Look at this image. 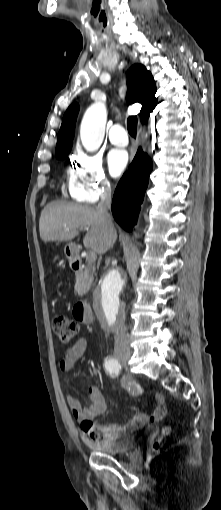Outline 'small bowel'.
<instances>
[{
  "instance_id": "c3829d8e",
  "label": "small bowel",
  "mask_w": 221,
  "mask_h": 510,
  "mask_svg": "<svg viewBox=\"0 0 221 510\" xmlns=\"http://www.w3.org/2000/svg\"><path fill=\"white\" fill-rule=\"evenodd\" d=\"M87 349V342L83 338L77 339L65 351L59 362L62 372H69L73 369L75 362L82 357ZM87 395L90 400L89 406H82L80 401L71 394L66 395V402L75 419L81 423L82 430L87 438L100 442H111L119 439L120 436L132 432L148 422L158 421L166 414L165 397L157 394L154 398L153 410L148 413L142 409H135L134 417L127 422H98L97 418L103 416L107 411L105 397L96 385H89Z\"/></svg>"
}]
</instances>
